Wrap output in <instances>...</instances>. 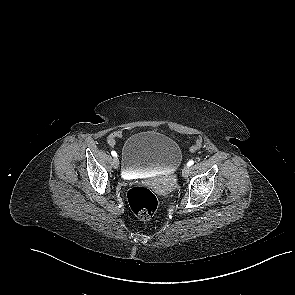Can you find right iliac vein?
Instances as JSON below:
<instances>
[{
  "label": "right iliac vein",
  "mask_w": 295,
  "mask_h": 295,
  "mask_svg": "<svg viewBox=\"0 0 295 295\" xmlns=\"http://www.w3.org/2000/svg\"><path fill=\"white\" fill-rule=\"evenodd\" d=\"M112 165H113L114 169H118L119 160L117 158H114L113 161H112Z\"/></svg>",
  "instance_id": "63e3f726"
}]
</instances>
